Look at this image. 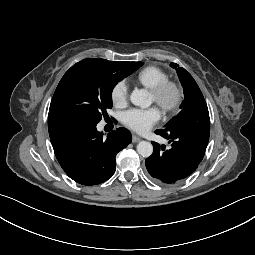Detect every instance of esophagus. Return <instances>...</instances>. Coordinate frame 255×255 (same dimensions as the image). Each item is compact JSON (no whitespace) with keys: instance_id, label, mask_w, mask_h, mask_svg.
Returning a JSON list of instances; mask_svg holds the SVG:
<instances>
[{"instance_id":"obj_1","label":"esophagus","mask_w":255,"mask_h":255,"mask_svg":"<svg viewBox=\"0 0 255 255\" xmlns=\"http://www.w3.org/2000/svg\"><path fill=\"white\" fill-rule=\"evenodd\" d=\"M140 140H141L140 137H138V136H136V135H133V136H132V142H133V143H137V142H139Z\"/></svg>"}]
</instances>
